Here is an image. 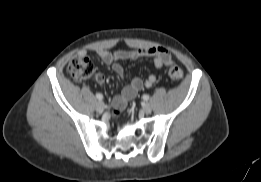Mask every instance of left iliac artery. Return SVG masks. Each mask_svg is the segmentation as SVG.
Masks as SVG:
<instances>
[{
  "label": "left iliac artery",
  "mask_w": 261,
  "mask_h": 182,
  "mask_svg": "<svg viewBox=\"0 0 261 182\" xmlns=\"http://www.w3.org/2000/svg\"><path fill=\"white\" fill-rule=\"evenodd\" d=\"M143 99L146 100V101L149 100V95L144 94V95H143Z\"/></svg>",
  "instance_id": "44dca946"
}]
</instances>
